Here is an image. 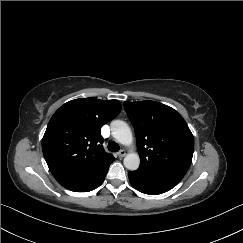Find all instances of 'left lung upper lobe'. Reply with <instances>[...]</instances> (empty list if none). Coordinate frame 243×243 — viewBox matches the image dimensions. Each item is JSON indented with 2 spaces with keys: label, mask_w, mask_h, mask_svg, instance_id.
<instances>
[{
  "label": "left lung upper lobe",
  "mask_w": 243,
  "mask_h": 243,
  "mask_svg": "<svg viewBox=\"0 0 243 243\" xmlns=\"http://www.w3.org/2000/svg\"><path fill=\"white\" fill-rule=\"evenodd\" d=\"M123 104L135 128L141 158L136 171L190 167L194 151L193 135L175 109L150 100Z\"/></svg>",
  "instance_id": "left-lung-upper-lobe-1"
}]
</instances>
